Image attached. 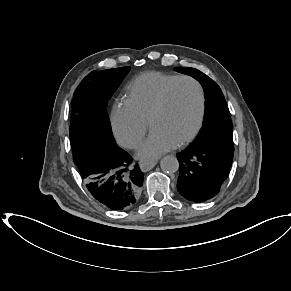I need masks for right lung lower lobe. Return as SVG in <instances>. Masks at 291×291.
<instances>
[{
  "label": "right lung lower lobe",
  "mask_w": 291,
  "mask_h": 291,
  "mask_svg": "<svg viewBox=\"0 0 291 291\" xmlns=\"http://www.w3.org/2000/svg\"><path fill=\"white\" fill-rule=\"evenodd\" d=\"M92 196L111 210H126L139 199L144 173L120 147L97 150L76 163Z\"/></svg>",
  "instance_id": "98d812e1"
}]
</instances>
